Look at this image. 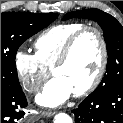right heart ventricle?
<instances>
[{
    "mask_svg": "<svg viewBox=\"0 0 123 123\" xmlns=\"http://www.w3.org/2000/svg\"><path fill=\"white\" fill-rule=\"evenodd\" d=\"M85 24L70 22L54 25L41 33L34 42L35 55L48 69H51L61 55L67 40Z\"/></svg>",
    "mask_w": 123,
    "mask_h": 123,
    "instance_id": "right-heart-ventricle-1",
    "label": "right heart ventricle"
}]
</instances>
